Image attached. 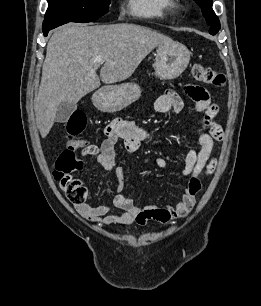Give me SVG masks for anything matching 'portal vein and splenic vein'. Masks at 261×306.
<instances>
[{"instance_id": "18ae733b", "label": "portal vein and splenic vein", "mask_w": 261, "mask_h": 306, "mask_svg": "<svg viewBox=\"0 0 261 306\" xmlns=\"http://www.w3.org/2000/svg\"><path fill=\"white\" fill-rule=\"evenodd\" d=\"M104 63V60L101 58V57H97L96 58V66H99V65H101V64H103Z\"/></svg>"}]
</instances>
